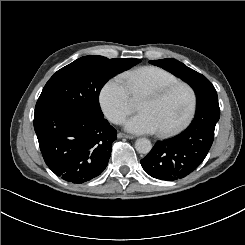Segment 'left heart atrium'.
<instances>
[{
	"label": "left heart atrium",
	"mask_w": 245,
	"mask_h": 245,
	"mask_svg": "<svg viewBox=\"0 0 245 245\" xmlns=\"http://www.w3.org/2000/svg\"><path fill=\"white\" fill-rule=\"evenodd\" d=\"M127 130L134 133H156L159 128L147 112H138L125 122Z\"/></svg>",
	"instance_id": "1"
}]
</instances>
